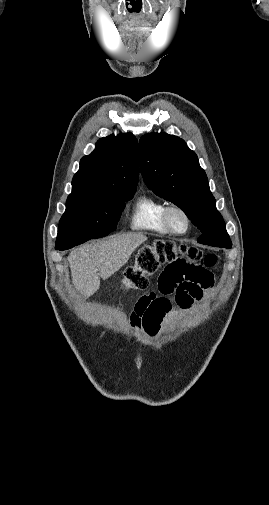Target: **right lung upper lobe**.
<instances>
[{"label": "right lung upper lobe", "mask_w": 269, "mask_h": 505, "mask_svg": "<svg viewBox=\"0 0 269 505\" xmlns=\"http://www.w3.org/2000/svg\"><path fill=\"white\" fill-rule=\"evenodd\" d=\"M139 177L137 140L131 133L110 135L80 161L72 193H135Z\"/></svg>", "instance_id": "1"}]
</instances>
